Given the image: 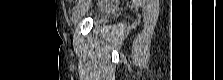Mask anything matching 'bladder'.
I'll list each match as a JSON object with an SVG mask.
<instances>
[{
	"mask_svg": "<svg viewBox=\"0 0 223 80\" xmlns=\"http://www.w3.org/2000/svg\"><path fill=\"white\" fill-rule=\"evenodd\" d=\"M103 21H104L103 18H100V19L98 20L99 23H102Z\"/></svg>",
	"mask_w": 223,
	"mask_h": 80,
	"instance_id": "bladder-1",
	"label": "bladder"
}]
</instances>
